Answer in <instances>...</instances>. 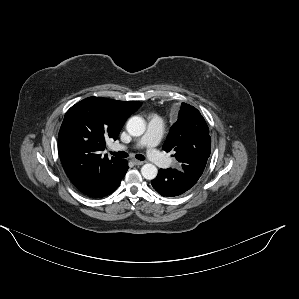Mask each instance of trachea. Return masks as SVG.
Returning <instances> with one entry per match:
<instances>
[{"mask_svg": "<svg viewBox=\"0 0 299 299\" xmlns=\"http://www.w3.org/2000/svg\"><path fill=\"white\" fill-rule=\"evenodd\" d=\"M112 155L116 156V157H119V158H127L128 157V154L124 151H119V152H111ZM138 160H145V157L141 154H137L135 156Z\"/></svg>", "mask_w": 299, "mask_h": 299, "instance_id": "obj_1", "label": "trachea"}]
</instances>
